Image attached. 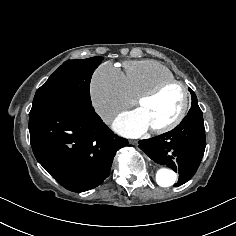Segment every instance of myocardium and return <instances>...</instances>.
I'll use <instances>...</instances> for the list:
<instances>
[{
  "instance_id": "obj_1",
  "label": "myocardium",
  "mask_w": 236,
  "mask_h": 236,
  "mask_svg": "<svg viewBox=\"0 0 236 236\" xmlns=\"http://www.w3.org/2000/svg\"><path fill=\"white\" fill-rule=\"evenodd\" d=\"M171 86H177L181 89L182 94H183V105L182 109L179 113V115L169 124L158 127V128H150V131L154 134L158 135H163L167 134L173 130H175L178 126H180L184 120L187 117V114L190 109V102H191V95L188 87L181 81L176 80V79H171V80H164L156 85H154L152 88L144 92L142 95L138 96L136 98V104L138 106L143 105L145 102L153 99L157 95H159L162 91L165 89L171 87Z\"/></svg>"
}]
</instances>
